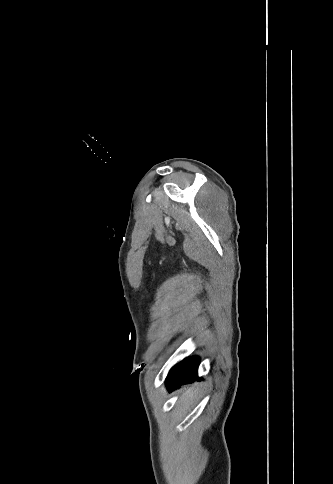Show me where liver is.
<instances>
[{"label": "liver", "instance_id": "6515ba94", "mask_svg": "<svg viewBox=\"0 0 333 484\" xmlns=\"http://www.w3.org/2000/svg\"><path fill=\"white\" fill-rule=\"evenodd\" d=\"M183 390H184V393L182 395V398L185 399V400H187L188 398L190 400H192V398H193V392H192L193 388L184 387Z\"/></svg>", "mask_w": 333, "mask_h": 484}]
</instances>
